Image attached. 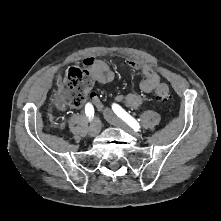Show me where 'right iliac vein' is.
<instances>
[{"mask_svg":"<svg viewBox=\"0 0 221 221\" xmlns=\"http://www.w3.org/2000/svg\"><path fill=\"white\" fill-rule=\"evenodd\" d=\"M101 130V122L98 118H95L90 126L89 135L91 137L96 136Z\"/></svg>","mask_w":221,"mask_h":221,"instance_id":"1","label":"right iliac vein"}]
</instances>
